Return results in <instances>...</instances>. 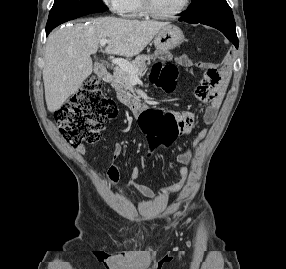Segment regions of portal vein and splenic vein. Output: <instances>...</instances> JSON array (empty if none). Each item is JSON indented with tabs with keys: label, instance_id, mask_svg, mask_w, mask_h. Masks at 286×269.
<instances>
[{
	"label": "portal vein and splenic vein",
	"instance_id": "1",
	"mask_svg": "<svg viewBox=\"0 0 286 269\" xmlns=\"http://www.w3.org/2000/svg\"><path fill=\"white\" fill-rule=\"evenodd\" d=\"M109 42H110V40H108V39H101L100 40V44L103 47L106 44H108ZM112 63L117 65L123 71L128 72L131 75V79L133 81H138L139 80V77L137 75L136 69H134L133 66L128 61H126L124 59H114V60H112Z\"/></svg>",
	"mask_w": 286,
	"mask_h": 269
}]
</instances>
